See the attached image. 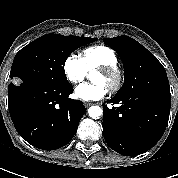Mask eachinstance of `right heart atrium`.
I'll list each match as a JSON object with an SVG mask.
<instances>
[{
    "label": "right heart atrium",
    "instance_id": "obj_1",
    "mask_svg": "<svg viewBox=\"0 0 178 178\" xmlns=\"http://www.w3.org/2000/svg\"><path fill=\"white\" fill-rule=\"evenodd\" d=\"M63 70L67 80L73 84L84 80L88 72L81 58L75 55H69L65 59Z\"/></svg>",
    "mask_w": 178,
    "mask_h": 178
}]
</instances>
